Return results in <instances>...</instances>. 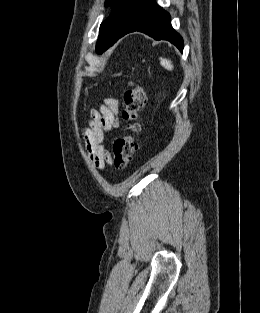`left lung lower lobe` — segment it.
<instances>
[{
  "label": "left lung lower lobe",
  "mask_w": 260,
  "mask_h": 313,
  "mask_svg": "<svg viewBox=\"0 0 260 313\" xmlns=\"http://www.w3.org/2000/svg\"><path fill=\"white\" fill-rule=\"evenodd\" d=\"M170 15L154 1L137 19L124 31V36L131 32H142L155 40H167L183 51V39L175 32L170 23ZM120 37V38H121Z\"/></svg>",
  "instance_id": "0a47b994"
}]
</instances>
